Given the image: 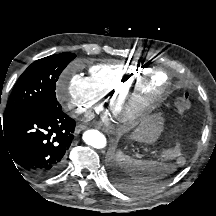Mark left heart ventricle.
Masks as SVG:
<instances>
[{
    "instance_id": "b2bd125f",
    "label": "left heart ventricle",
    "mask_w": 216,
    "mask_h": 216,
    "mask_svg": "<svg viewBox=\"0 0 216 216\" xmlns=\"http://www.w3.org/2000/svg\"><path fill=\"white\" fill-rule=\"evenodd\" d=\"M165 82V76L164 75H157L154 81V86L155 87H160L161 85H163V83Z\"/></svg>"
}]
</instances>
